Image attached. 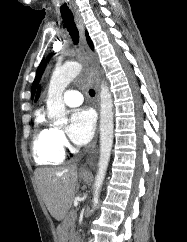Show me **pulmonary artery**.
Segmentation results:
<instances>
[{
  "mask_svg": "<svg viewBox=\"0 0 187 242\" xmlns=\"http://www.w3.org/2000/svg\"><path fill=\"white\" fill-rule=\"evenodd\" d=\"M64 102L68 106H78L82 103L83 98L79 91L77 90H67L63 95Z\"/></svg>",
  "mask_w": 187,
  "mask_h": 242,
  "instance_id": "obj_1",
  "label": "pulmonary artery"
}]
</instances>
